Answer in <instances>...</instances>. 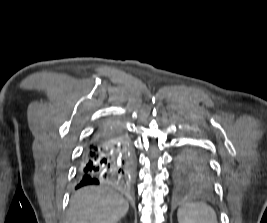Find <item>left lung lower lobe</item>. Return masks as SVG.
<instances>
[{"label": "left lung lower lobe", "mask_w": 267, "mask_h": 223, "mask_svg": "<svg viewBox=\"0 0 267 223\" xmlns=\"http://www.w3.org/2000/svg\"><path fill=\"white\" fill-rule=\"evenodd\" d=\"M177 178L185 182L184 189H207L209 179L207 176H212V171H176Z\"/></svg>", "instance_id": "obj_1"}]
</instances>
